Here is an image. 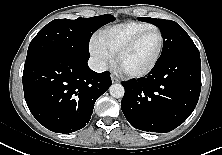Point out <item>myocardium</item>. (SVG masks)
Returning <instances> with one entry per match:
<instances>
[{"mask_svg": "<svg viewBox=\"0 0 222 155\" xmlns=\"http://www.w3.org/2000/svg\"><path fill=\"white\" fill-rule=\"evenodd\" d=\"M155 30L159 33L160 36V45H159V49L157 52V55L155 57V59L153 60V62L150 64V66H148L146 69L142 70V71H138V72H125L126 75L128 77L131 78H142L145 77L147 75H149L158 65L162 54H163V49H164V43H165V38H164V34L162 32V30L157 27V26H151L149 28H146L142 31H140L139 33H137L135 36H133L131 39H129L126 43H124L115 53V62L116 64L119 63V59L120 57L125 54L127 51H129L131 48L134 47V45L148 32Z\"/></svg>", "mask_w": 222, "mask_h": 155, "instance_id": "myocardium-1", "label": "myocardium"}]
</instances>
